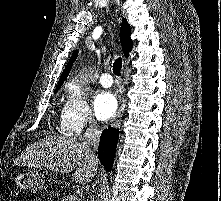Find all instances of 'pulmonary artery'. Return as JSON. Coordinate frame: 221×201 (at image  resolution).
<instances>
[{"instance_id":"obj_1","label":"pulmonary artery","mask_w":221,"mask_h":201,"mask_svg":"<svg viewBox=\"0 0 221 201\" xmlns=\"http://www.w3.org/2000/svg\"><path fill=\"white\" fill-rule=\"evenodd\" d=\"M99 82L103 87H110L113 83V79L109 73H103L100 76Z\"/></svg>"}]
</instances>
